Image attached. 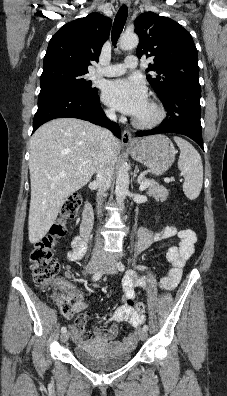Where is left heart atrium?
Masks as SVG:
<instances>
[{
	"label": "left heart atrium",
	"mask_w": 227,
	"mask_h": 396,
	"mask_svg": "<svg viewBox=\"0 0 227 396\" xmlns=\"http://www.w3.org/2000/svg\"><path fill=\"white\" fill-rule=\"evenodd\" d=\"M102 99L107 105L131 116H137L148 103L145 85L135 78L108 82Z\"/></svg>",
	"instance_id": "obj_1"
}]
</instances>
